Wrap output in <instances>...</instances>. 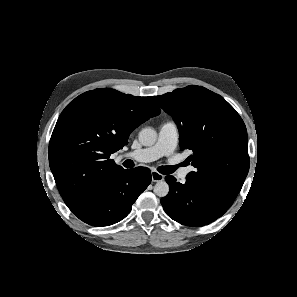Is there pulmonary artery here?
<instances>
[{"label":"pulmonary artery","instance_id":"pulmonary-artery-1","mask_svg":"<svg viewBox=\"0 0 297 297\" xmlns=\"http://www.w3.org/2000/svg\"><path fill=\"white\" fill-rule=\"evenodd\" d=\"M179 140V130L175 122L167 121L159 129L158 138L154 145L132 151L129 156L140 162H151L163 156L170 155L176 148ZM189 168L179 171V178L185 182Z\"/></svg>","mask_w":297,"mask_h":297}]
</instances>
